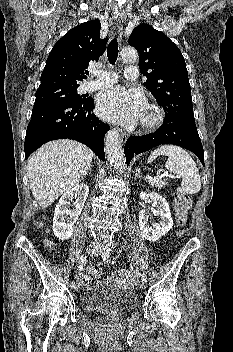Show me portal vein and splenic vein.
Here are the masks:
<instances>
[{"label": "portal vein and splenic vein", "instance_id": "obj_1", "mask_svg": "<svg viewBox=\"0 0 233 352\" xmlns=\"http://www.w3.org/2000/svg\"><path fill=\"white\" fill-rule=\"evenodd\" d=\"M164 177H171V178H174V176H173L172 174L168 173L167 171L164 172L163 174H161L160 176L156 177V178H152V177H150L149 175H147L146 178H147L149 181H151V182H157V181L161 180V179L164 178Z\"/></svg>", "mask_w": 233, "mask_h": 352}]
</instances>
